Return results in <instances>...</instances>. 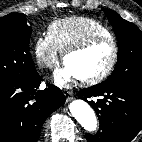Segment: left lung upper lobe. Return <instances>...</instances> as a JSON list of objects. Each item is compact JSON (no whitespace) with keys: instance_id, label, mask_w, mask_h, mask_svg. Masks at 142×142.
Here are the masks:
<instances>
[{"instance_id":"obj_1","label":"left lung upper lobe","mask_w":142,"mask_h":142,"mask_svg":"<svg viewBox=\"0 0 142 142\" xmlns=\"http://www.w3.org/2000/svg\"><path fill=\"white\" fill-rule=\"evenodd\" d=\"M119 40L117 63L112 74L100 84L142 83V32L115 11L104 8Z\"/></svg>"}]
</instances>
